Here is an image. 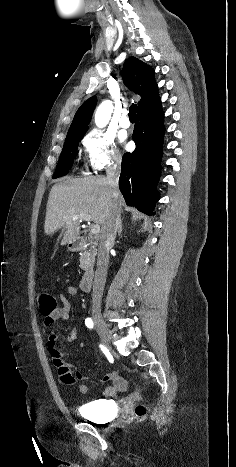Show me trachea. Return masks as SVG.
<instances>
[{
	"label": "trachea",
	"mask_w": 236,
	"mask_h": 467,
	"mask_svg": "<svg viewBox=\"0 0 236 467\" xmlns=\"http://www.w3.org/2000/svg\"><path fill=\"white\" fill-rule=\"evenodd\" d=\"M136 111H137V105L132 104L129 108V118L130 119H135L136 118Z\"/></svg>",
	"instance_id": "1"
}]
</instances>
